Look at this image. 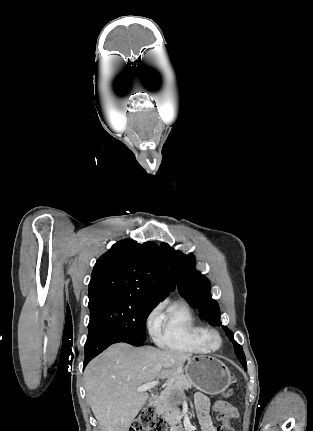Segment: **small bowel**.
Returning a JSON list of instances; mask_svg holds the SVG:
<instances>
[{
	"label": "small bowel",
	"mask_w": 313,
	"mask_h": 431,
	"mask_svg": "<svg viewBox=\"0 0 313 431\" xmlns=\"http://www.w3.org/2000/svg\"><path fill=\"white\" fill-rule=\"evenodd\" d=\"M195 400L197 416L202 431H217L212 419L213 412H223L230 418L238 417L237 409L227 402L217 401L211 406L208 398L202 393H198Z\"/></svg>",
	"instance_id": "c3829d8e"
}]
</instances>
